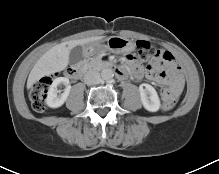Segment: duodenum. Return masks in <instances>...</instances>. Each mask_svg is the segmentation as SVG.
Masks as SVG:
<instances>
[{
  "label": "duodenum",
  "mask_w": 219,
  "mask_h": 174,
  "mask_svg": "<svg viewBox=\"0 0 219 174\" xmlns=\"http://www.w3.org/2000/svg\"><path fill=\"white\" fill-rule=\"evenodd\" d=\"M93 52H95V51L94 50H89L87 52V54H91ZM97 67L100 68V69L113 70L115 72V74L120 78H125L126 77V72L124 71V69L120 66H117V65L111 63V62L99 63L97 65ZM67 73H68L69 77H71L73 79H80L85 75L86 69L83 68V67H73V68H70Z\"/></svg>",
  "instance_id": "410a0bca"
}]
</instances>
